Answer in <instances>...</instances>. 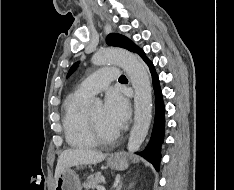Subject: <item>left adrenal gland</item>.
I'll return each instance as SVG.
<instances>
[{"instance_id": "left-adrenal-gland-1", "label": "left adrenal gland", "mask_w": 234, "mask_h": 190, "mask_svg": "<svg viewBox=\"0 0 234 190\" xmlns=\"http://www.w3.org/2000/svg\"><path fill=\"white\" fill-rule=\"evenodd\" d=\"M121 189H122V180L119 181V184L116 187V190H121Z\"/></svg>"}]
</instances>
